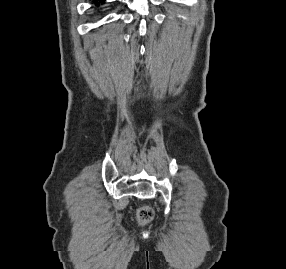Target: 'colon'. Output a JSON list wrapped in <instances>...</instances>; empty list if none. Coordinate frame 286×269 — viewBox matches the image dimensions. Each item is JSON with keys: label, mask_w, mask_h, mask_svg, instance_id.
<instances>
[{"label": "colon", "mask_w": 286, "mask_h": 269, "mask_svg": "<svg viewBox=\"0 0 286 269\" xmlns=\"http://www.w3.org/2000/svg\"><path fill=\"white\" fill-rule=\"evenodd\" d=\"M153 218V212L148 207H142L138 212V219L141 222H147Z\"/></svg>", "instance_id": "colon-1"}]
</instances>
